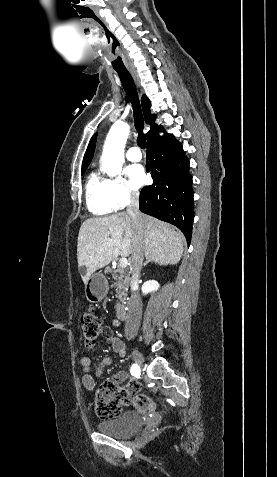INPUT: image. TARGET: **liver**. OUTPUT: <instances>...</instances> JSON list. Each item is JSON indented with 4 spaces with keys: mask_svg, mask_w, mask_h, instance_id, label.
I'll use <instances>...</instances> for the list:
<instances>
[{
    "mask_svg": "<svg viewBox=\"0 0 277 477\" xmlns=\"http://www.w3.org/2000/svg\"><path fill=\"white\" fill-rule=\"evenodd\" d=\"M144 255L159 265L177 264L184 250V237L172 225L143 215ZM134 229L131 217L124 212L106 217L89 218L79 230L77 260L86 268L82 280L112 260L129 256L134 250Z\"/></svg>",
    "mask_w": 277,
    "mask_h": 477,
    "instance_id": "1",
    "label": "liver"
}]
</instances>
